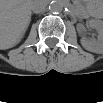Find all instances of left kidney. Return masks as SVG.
Here are the masks:
<instances>
[{
    "label": "left kidney",
    "instance_id": "1",
    "mask_svg": "<svg viewBox=\"0 0 103 103\" xmlns=\"http://www.w3.org/2000/svg\"><path fill=\"white\" fill-rule=\"evenodd\" d=\"M87 26L94 28L98 32V37L91 40L83 37L80 40L81 45L90 52L99 53L103 50V22L92 19L87 23Z\"/></svg>",
    "mask_w": 103,
    "mask_h": 103
}]
</instances>
